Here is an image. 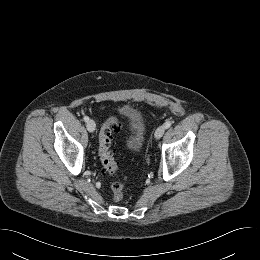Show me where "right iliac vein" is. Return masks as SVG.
Listing matches in <instances>:
<instances>
[{
	"label": "right iliac vein",
	"mask_w": 260,
	"mask_h": 260,
	"mask_svg": "<svg viewBox=\"0 0 260 260\" xmlns=\"http://www.w3.org/2000/svg\"><path fill=\"white\" fill-rule=\"evenodd\" d=\"M86 127L89 132H94L96 128L95 122L93 120H88Z\"/></svg>",
	"instance_id": "1"
}]
</instances>
